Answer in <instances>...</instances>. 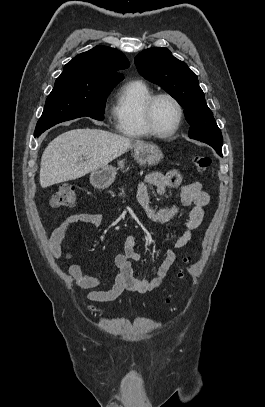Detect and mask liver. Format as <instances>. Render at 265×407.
<instances>
[{
	"label": "liver",
	"mask_w": 265,
	"mask_h": 407,
	"mask_svg": "<svg viewBox=\"0 0 265 407\" xmlns=\"http://www.w3.org/2000/svg\"><path fill=\"white\" fill-rule=\"evenodd\" d=\"M141 144L142 141L100 129H73L62 133L43 152L40 185L48 187L81 178ZM82 156L87 160L79 162Z\"/></svg>",
	"instance_id": "liver-1"
}]
</instances>
